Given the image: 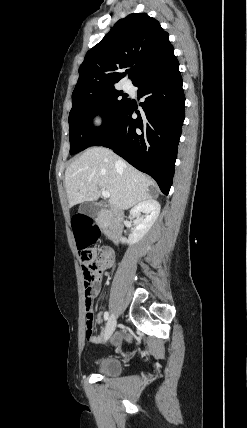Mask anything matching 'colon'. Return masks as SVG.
Segmentation results:
<instances>
[{"instance_id":"obj_1","label":"colon","mask_w":247,"mask_h":428,"mask_svg":"<svg viewBox=\"0 0 247 428\" xmlns=\"http://www.w3.org/2000/svg\"><path fill=\"white\" fill-rule=\"evenodd\" d=\"M70 220L73 226L74 239H76V250L81 251L82 272L85 283V295H89L91 286L100 280L104 268L103 258L93 259L89 252V244L95 243L100 236V230L94 225L93 217H89L88 212H71ZM94 314L92 305L86 304V335L89 339L94 337L93 332Z\"/></svg>"}]
</instances>
